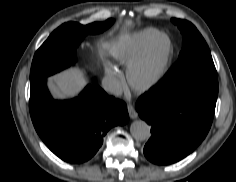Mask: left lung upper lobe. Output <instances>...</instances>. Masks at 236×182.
<instances>
[{
	"label": "left lung upper lobe",
	"mask_w": 236,
	"mask_h": 182,
	"mask_svg": "<svg viewBox=\"0 0 236 182\" xmlns=\"http://www.w3.org/2000/svg\"><path fill=\"white\" fill-rule=\"evenodd\" d=\"M172 22L183 34L182 50L178 61L155 88L165 93L198 91L218 95L217 72L204 38L192 23L176 18Z\"/></svg>",
	"instance_id": "5c2ea615"
}]
</instances>
